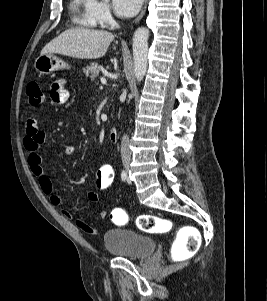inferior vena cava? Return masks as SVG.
I'll return each instance as SVG.
<instances>
[{
	"label": "inferior vena cava",
	"instance_id": "inferior-vena-cava-1",
	"mask_svg": "<svg viewBox=\"0 0 267 301\" xmlns=\"http://www.w3.org/2000/svg\"><path fill=\"white\" fill-rule=\"evenodd\" d=\"M118 27V25H117ZM121 157L123 164H129L131 161V152L129 149V138L127 135L122 137L121 141Z\"/></svg>",
	"mask_w": 267,
	"mask_h": 301
}]
</instances>
